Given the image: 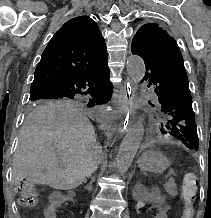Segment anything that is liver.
I'll use <instances>...</instances> for the list:
<instances>
[{"mask_svg":"<svg viewBox=\"0 0 211 218\" xmlns=\"http://www.w3.org/2000/svg\"><path fill=\"white\" fill-rule=\"evenodd\" d=\"M94 128L73 106H40L28 114L19 134L16 184L24 178L55 190L77 188L97 170Z\"/></svg>","mask_w":211,"mask_h":218,"instance_id":"1","label":"liver"}]
</instances>
